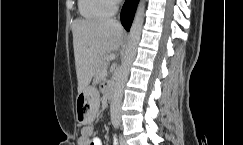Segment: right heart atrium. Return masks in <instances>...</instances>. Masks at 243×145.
<instances>
[{"label": "right heart atrium", "mask_w": 243, "mask_h": 145, "mask_svg": "<svg viewBox=\"0 0 243 145\" xmlns=\"http://www.w3.org/2000/svg\"><path fill=\"white\" fill-rule=\"evenodd\" d=\"M112 7H114L120 0H108Z\"/></svg>", "instance_id": "1"}]
</instances>
